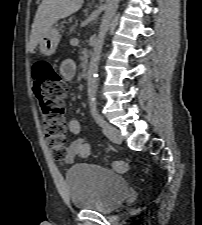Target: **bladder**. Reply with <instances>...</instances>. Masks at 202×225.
Wrapping results in <instances>:
<instances>
[{
	"label": "bladder",
	"instance_id": "31cf9c89",
	"mask_svg": "<svg viewBox=\"0 0 202 225\" xmlns=\"http://www.w3.org/2000/svg\"><path fill=\"white\" fill-rule=\"evenodd\" d=\"M68 198L75 209L109 214L127 198L129 183L105 167L79 164L65 173Z\"/></svg>",
	"mask_w": 202,
	"mask_h": 225
}]
</instances>
